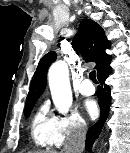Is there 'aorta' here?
I'll return each instance as SVG.
<instances>
[{
	"instance_id": "aorta-1",
	"label": "aorta",
	"mask_w": 130,
	"mask_h": 153,
	"mask_svg": "<svg viewBox=\"0 0 130 153\" xmlns=\"http://www.w3.org/2000/svg\"><path fill=\"white\" fill-rule=\"evenodd\" d=\"M49 87L53 103L59 113L66 114L72 106V91L69 69L64 61L53 63L48 72Z\"/></svg>"
}]
</instances>
